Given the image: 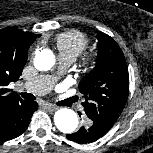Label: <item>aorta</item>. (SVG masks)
<instances>
[{"label":"aorta","mask_w":153,"mask_h":153,"mask_svg":"<svg viewBox=\"0 0 153 153\" xmlns=\"http://www.w3.org/2000/svg\"><path fill=\"white\" fill-rule=\"evenodd\" d=\"M55 63V56L51 50L43 49L38 52L34 58V65L40 71H47ZM54 123L57 129L62 133H72L79 124L77 114L67 108H61L55 112Z\"/></svg>","instance_id":"1"}]
</instances>
